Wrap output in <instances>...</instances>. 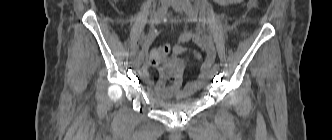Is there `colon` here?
<instances>
[{"instance_id":"obj_1","label":"colon","mask_w":332,"mask_h":140,"mask_svg":"<svg viewBox=\"0 0 332 140\" xmlns=\"http://www.w3.org/2000/svg\"><path fill=\"white\" fill-rule=\"evenodd\" d=\"M256 2L257 0H250V5L254 6ZM170 50L171 46L169 44H165L164 46L158 48L157 57L161 60L165 59Z\"/></svg>"}]
</instances>
